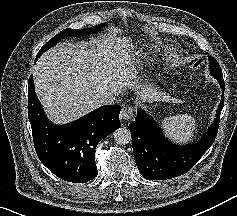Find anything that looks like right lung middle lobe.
<instances>
[{"label":"right lung middle lobe","mask_w":237,"mask_h":216,"mask_svg":"<svg viewBox=\"0 0 237 216\" xmlns=\"http://www.w3.org/2000/svg\"><path fill=\"white\" fill-rule=\"evenodd\" d=\"M105 26V24H99L97 26H93L87 29H64L63 31H61L60 33H58L57 35H55L52 39H50L44 46H42V48L39 50L37 56H36V60L38 57H40L46 50L49 49V47L54 46L55 44H57L62 38L65 37H75V36H85V35H89V34H93V33H97L101 27Z\"/></svg>","instance_id":"right-lung-middle-lobe-1"}]
</instances>
